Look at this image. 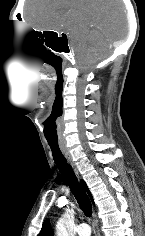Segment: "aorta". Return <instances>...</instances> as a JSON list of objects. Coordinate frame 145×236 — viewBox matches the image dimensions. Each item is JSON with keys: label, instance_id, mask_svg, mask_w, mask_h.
Listing matches in <instances>:
<instances>
[{"label": "aorta", "instance_id": "obj_1", "mask_svg": "<svg viewBox=\"0 0 145 236\" xmlns=\"http://www.w3.org/2000/svg\"><path fill=\"white\" fill-rule=\"evenodd\" d=\"M73 216L74 210L67 209L56 225L57 236H74L73 232Z\"/></svg>", "mask_w": 145, "mask_h": 236}]
</instances>
